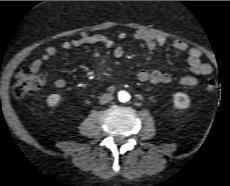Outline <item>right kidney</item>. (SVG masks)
Returning <instances> with one entry per match:
<instances>
[{"instance_id": "right-kidney-1", "label": "right kidney", "mask_w": 230, "mask_h": 186, "mask_svg": "<svg viewBox=\"0 0 230 186\" xmlns=\"http://www.w3.org/2000/svg\"><path fill=\"white\" fill-rule=\"evenodd\" d=\"M60 100L61 96L59 94H51L48 96L46 102L49 106H56Z\"/></svg>"}]
</instances>
